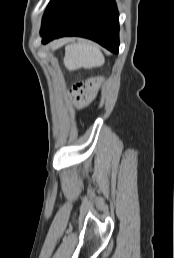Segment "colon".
Returning a JSON list of instances; mask_svg holds the SVG:
<instances>
[{"instance_id": "5ec220e1", "label": "colon", "mask_w": 174, "mask_h": 258, "mask_svg": "<svg viewBox=\"0 0 174 258\" xmlns=\"http://www.w3.org/2000/svg\"><path fill=\"white\" fill-rule=\"evenodd\" d=\"M82 87H83L82 83H78V84L74 85V87H73L74 94L79 93L81 91Z\"/></svg>"}]
</instances>
